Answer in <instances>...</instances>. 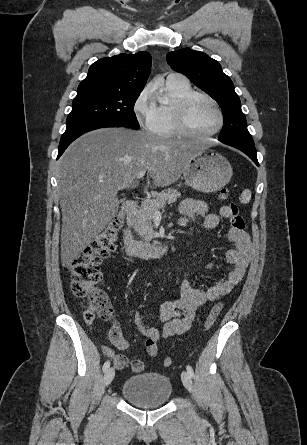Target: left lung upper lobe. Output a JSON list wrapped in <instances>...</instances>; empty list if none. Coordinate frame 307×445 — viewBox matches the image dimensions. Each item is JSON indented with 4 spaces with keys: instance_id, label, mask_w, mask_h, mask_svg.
Wrapping results in <instances>:
<instances>
[{
    "instance_id": "5c2ea615",
    "label": "left lung upper lobe",
    "mask_w": 307,
    "mask_h": 445,
    "mask_svg": "<svg viewBox=\"0 0 307 445\" xmlns=\"http://www.w3.org/2000/svg\"><path fill=\"white\" fill-rule=\"evenodd\" d=\"M166 59L172 69L186 75L221 107L224 126L218 140L253 142L234 85L223 73L218 61L203 52L189 48L170 52Z\"/></svg>"
}]
</instances>
